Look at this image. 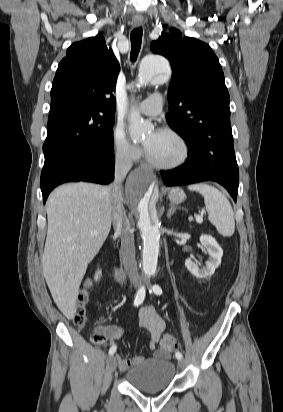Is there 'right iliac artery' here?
Wrapping results in <instances>:
<instances>
[{
    "label": "right iliac artery",
    "instance_id": "1",
    "mask_svg": "<svg viewBox=\"0 0 283 412\" xmlns=\"http://www.w3.org/2000/svg\"><path fill=\"white\" fill-rule=\"evenodd\" d=\"M145 293H146L145 287L142 286L136 294V297L134 300V306L138 307L144 301ZM116 348H117L116 345H113L109 350V355H113L116 351Z\"/></svg>",
    "mask_w": 283,
    "mask_h": 412
}]
</instances>
